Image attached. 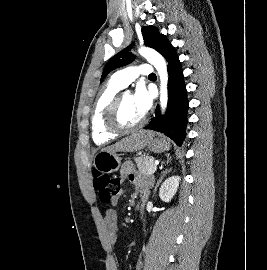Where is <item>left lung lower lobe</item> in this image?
Returning a JSON list of instances; mask_svg holds the SVG:
<instances>
[{
  "mask_svg": "<svg viewBox=\"0 0 267 270\" xmlns=\"http://www.w3.org/2000/svg\"><path fill=\"white\" fill-rule=\"evenodd\" d=\"M168 62V106L164 116L158 108L155 117L144 129L160 131L182 146L186 136L187 111L189 108L183 70L175 48L172 46L164 56Z\"/></svg>",
  "mask_w": 267,
  "mask_h": 270,
  "instance_id": "obj_1",
  "label": "left lung lower lobe"
}]
</instances>
